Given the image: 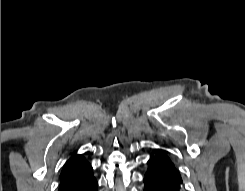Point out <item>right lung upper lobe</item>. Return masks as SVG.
Wrapping results in <instances>:
<instances>
[{
  "mask_svg": "<svg viewBox=\"0 0 245 191\" xmlns=\"http://www.w3.org/2000/svg\"><path fill=\"white\" fill-rule=\"evenodd\" d=\"M90 164L84 159L82 155L74 154L64 165L60 175V180L65 179L77 172L85 169Z\"/></svg>",
  "mask_w": 245,
  "mask_h": 191,
  "instance_id": "1",
  "label": "right lung upper lobe"
}]
</instances>
